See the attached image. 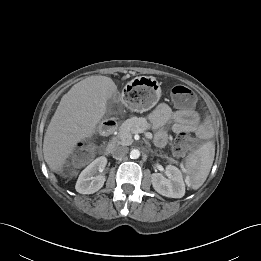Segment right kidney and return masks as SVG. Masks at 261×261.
<instances>
[{
  "instance_id": "obj_1",
  "label": "right kidney",
  "mask_w": 261,
  "mask_h": 261,
  "mask_svg": "<svg viewBox=\"0 0 261 261\" xmlns=\"http://www.w3.org/2000/svg\"><path fill=\"white\" fill-rule=\"evenodd\" d=\"M107 164V159L104 156L96 158L90 163L79 175L75 189L81 194H93L101 189L106 180L103 174L97 175L98 172H103Z\"/></svg>"
}]
</instances>
